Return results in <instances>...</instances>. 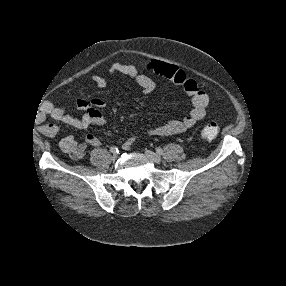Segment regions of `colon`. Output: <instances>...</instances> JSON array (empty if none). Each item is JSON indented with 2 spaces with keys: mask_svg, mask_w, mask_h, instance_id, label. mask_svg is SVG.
<instances>
[{
  "mask_svg": "<svg viewBox=\"0 0 286 286\" xmlns=\"http://www.w3.org/2000/svg\"><path fill=\"white\" fill-rule=\"evenodd\" d=\"M140 71L144 72L147 71L153 74H163L162 68H160L157 63H152L146 67L139 68ZM220 132V126L216 122H210L203 127L201 130V137L206 140L214 139L218 136Z\"/></svg>",
  "mask_w": 286,
  "mask_h": 286,
  "instance_id": "1",
  "label": "colon"
}]
</instances>
